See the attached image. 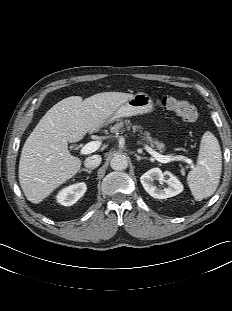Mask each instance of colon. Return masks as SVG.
I'll list each match as a JSON object with an SVG mask.
<instances>
[{
    "label": "colon",
    "mask_w": 232,
    "mask_h": 311,
    "mask_svg": "<svg viewBox=\"0 0 232 311\" xmlns=\"http://www.w3.org/2000/svg\"><path fill=\"white\" fill-rule=\"evenodd\" d=\"M157 104L167 111L174 112L185 122L194 123L199 118V112L196 106L186 100H179L168 95H160L157 97Z\"/></svg>",
    "instance_id": "obj_1"
}]
</instances>
